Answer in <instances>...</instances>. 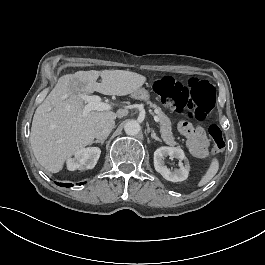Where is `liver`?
Listing matches in <instances>:
<instances>
[{
  "instance_id": "liver-1",
  "label": "liver",
  "mask_w": 265,
  "mask_h": 265,
  "mask_svg": "<svg viewBox=\"0 0 265 265\" xmlns=\"http://www.w3.org/2000/svg\"><path fill=\"white\" fill-rule=\"evenodd\" d=\"M101 76L102 82L96 80ZM146 77L124 70L78 71L60 77L44 101L37 107L31 127L30 143L37 161L57 173L64 162L82 147L91 145L96 125L114 120L112 111H90L83 116L84 101L79 94L95 91L123 96L140 88ZM67 95L66 99L63 97Z\"/></svg>"
}]
</instances>
